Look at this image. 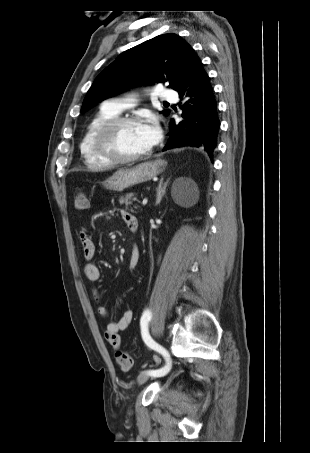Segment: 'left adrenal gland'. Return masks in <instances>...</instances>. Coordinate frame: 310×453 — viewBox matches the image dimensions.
<instances>
[{
    "instance_id": "obj_1",
    "label": "left adrenal gland",
    "mask_w": 310,
    "mask_h": 453,
    "mask_svg": "<svg viewBox=\"0 0 310 453\" xmlns=\"http://www.w3.org/2000/svg\"><path fill=\"white\" fill-rule=\"evenodd\" d=\"M163 180H164V178L162 176L159 181L158 187L156 188V205L160 204L162 197L165 194V190H166V187L168 184V180L165 183H163Z\"/></svg>"
}]
</instances>
